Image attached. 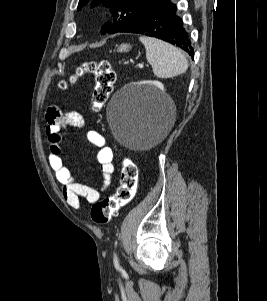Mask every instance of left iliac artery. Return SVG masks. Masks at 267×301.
Masks as SVG:
<instances>
[{
    "instance_id": "obj_1",
    "label": "left iliac artery",
    "mask_w": 267,
    "mask_h": 301,
    "mask_svg": "<svg viewBox=\"0 0 267 301\" xmlns=\"http://www.w3.org/2000/svg\"><path fill=\"white\" fill-rule=\"evenodd\" d=\"M113 260H114V266H115L116 268H120L119 260H118V257H117L116 254H114Z\"/></svg>"
}]
</instances>
